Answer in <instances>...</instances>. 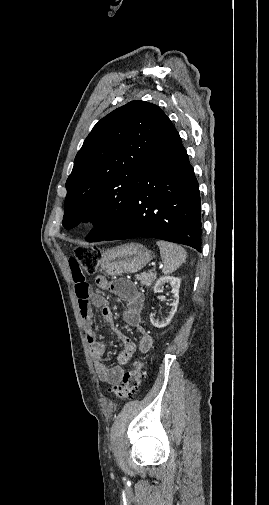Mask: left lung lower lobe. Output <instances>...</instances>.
I'll return each mask as SVG.
<instances>
[{
  "mask_svg": "<svg viewBox=\"0 0 269 505\" xmlns=\"http://www.w3.org/2000/svg\"><path fill=\"white\" fill-rule=\"evenodd\" d=\"M201 235L199 185L181 138L166 116L132 192L129 214L116 230L98 241L149 237L201 252Z\"/></svg>",
  "mask_w": 269,
  "mask_h": 505,
  "instance_id": "left-lung-lower-lobe-1",
  "label": "left lung lower lobe"
}]
</instances>
